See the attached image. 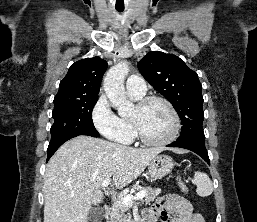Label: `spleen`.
Returning <instances> with one entry per match:
<instances>
[{
	"instance_id": "3e777b00",
	"label": "spleen",
	"mask_w": 257,
	"mask_h": 222,
	"mask_svg": "<svg viewBox=\"0 0 257 222\" xmlns=\"http://www.w3.org/2000/svg\"><path fill=\"white\" fill-rule=\"evenodd\" d=\"M194 181L197 186L196 192L201 197H207L213 192V185L210 178L202 172H195Z\"/></svg>"
}]
</instances>
